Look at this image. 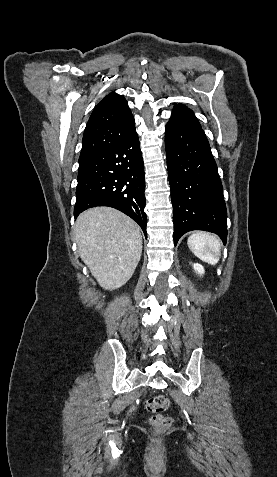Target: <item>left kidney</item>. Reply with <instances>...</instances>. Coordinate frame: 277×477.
Segmentation results:
<instances>
[{
  "instance_id": "1",
  "label": "left kidney",
  "mask_w": 277,
  "mask_h": 477,
  "mask_svg": "<svg viewBox=\"0 0 277 477\" xmlns=\"http://www.w3.org/2000/svg\"><path fill=\"white\" fill-rule=\"evenodd\" d=\"M193 269L194 271L199 274V275H203L204 274V267L201 265V264H198V263H194L193 264Z\"/></svg>"
}]
</instances>
